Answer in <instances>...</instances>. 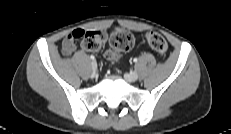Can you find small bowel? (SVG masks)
<instances>
[{
  "label": "small bowel",
  "mask_w": 231,
  "mask_h": 134,
  "mask_svg": "<svg viewBox=\"0 0 231 134\" xmlns=\"http://www.w3.org/2000/svg\"><path fill=\"white\" fill-rule=\"evenodd\" d=\"M74 41L75 39L73 38L72 33L65 37L62 43V51L64 55H71L75 51L76 46Z\"/></svg>",
  "instance_id": "small-bowel-1"
}]
</instances>
